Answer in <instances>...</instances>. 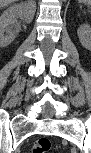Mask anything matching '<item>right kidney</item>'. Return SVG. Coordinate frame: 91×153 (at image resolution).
I'll use <instances>...</instances> for the list:
<instances>
[{
	"label": "right kidney",
	"mask_w": 91,
	"mask_h": 153,
	"mask_svg": "<svg viewBox=\"0 0 91 153\" xmlns=\"http://www.w3.org/2000/svg\"><path fill=\"white\" fill-rule=\"evenodd\" d=\"M36 11L34 2L15 4L6 9L0 16V46L7 47L16 38V33H10L9 27L17 24V18L21 17L26 23H31Z\"/></svg>",
	"instance_id": "obj_1"
}]
</instances>
